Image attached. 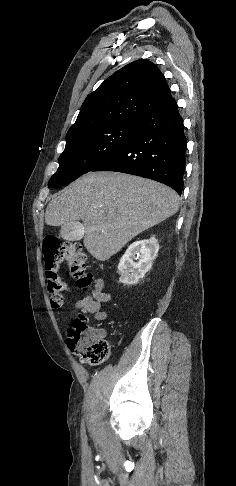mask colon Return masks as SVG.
I'll return each mask as SVG.
<instances>
[{
    "label": "colon",
    "mask_w": 236,
    "mask_h": 486,
    "mask_svg": "<svg viewBox=\"0 0 236 486\" xmlns=\"http://www.w3.org/2000/svg\"><path fill=\"white\" fill-rule=\"evenodd\" d=\"M46 288L53 308L64 303L66 284L59 276L62 263L66 262L69 274L82 290H88L93 276L87 271V257L79 244L61 243L55 237H48L43 245ZM68 346L79 359L89 365H99L109 356L110 347L100 330L90 326L85 314L74 318L68 332Z\"/></svg>",
    "instance_id": "5ec220e1"
}]
</instances>
